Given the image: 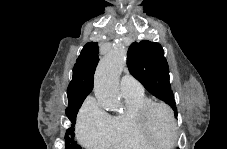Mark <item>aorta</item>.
Listing matches in <instances>:
<instances>
[{"label": "aorta", "mask_w": 227, "mask_h": 149, "mask_svg": "<svg viewBox=\"0 0 227 149\" xmlns=\"http://www.w3.org/2000/svg\"><path fill=\"white\" fill-rule=\"evenodd\" d=\"M125 65V48L117 44L97 67L94 94L100 106L105 110H114L120 105L119 77Z\"/></svg>", "instance_id": "762f6f07"}]
</instances>
